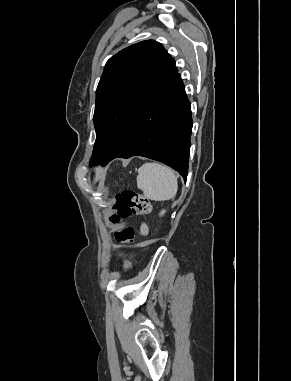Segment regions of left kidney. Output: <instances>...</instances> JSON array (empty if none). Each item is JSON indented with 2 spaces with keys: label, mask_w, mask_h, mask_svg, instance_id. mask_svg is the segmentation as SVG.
I'll list each match as a JSON object with an SVG mask.
<instances>
[{
  "label": "left kidney",
  "mask_w": 291,
  "mask_h": 381,
  "mask_svg": "<svg viewBox=\"0 0 291 381\" xmlns=\"http://www.w3.org/2000/svg\"><path fill=\"white\" fill-rule=\"evenodd\" d=\"M165 213V210H163L161 213H160V215H163Z\"/></svg>",
  "instance_id": "5707ae66"
}]
</instances>
